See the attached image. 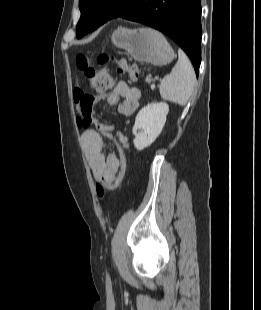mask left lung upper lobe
Wrapping results in <instances>:
<instances>
[{
	"label": "left lung upper lobe",
	"mask_w": 261,
	"mask_h": 310,
	"mask_svg": "<svg viewBox=\"0 0 261 310\" xmlns=\"http://www.w3.org/2000/svg\"><path fill=\"white\" fill-rule=\"evenodd\" d=\"M133 0H79L81 17L77 24V38L89 33L90 27L102 25L108 20L121 17Z\"/></svg>",
	"instance_id": "1"
}]
</instances>
